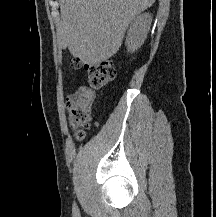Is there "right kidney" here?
<instances>
[{
    "label": "right kidney",
    "mask_w": 216,
    "mask_h": 217,
    "mask_svg": "<svg viewBox=\"0 0 216 217\" xmlns=\"http://www.w3.org/2000/svg\"><path fill=\"white\" fill-rule=\"evenodd\" d=\"M152 17L149 13L139 15L131 24L127 37L126 45L130 52L137 50L144 42L150 29Z\"/></svg>",
    "instance_id": "right-kidney-1"
}]
</instances>
